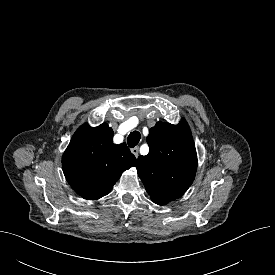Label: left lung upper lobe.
Masks as SVG:
<instances>
[{
    "mask_svg": "<svg viewBox=\"0 0 275 275\" xmlns=\"http://www.w3.org/2000/svg\"><path fill=\"white\" fill-rule=\"evenodd\" d=\"M149 153L139 156L137 172L152 201L164 205L181 197L191 186L197 154L190 129L157 122L147 137Z\"/></svg>",
    "mask_w": 275,
    "mask_h": 275,
    "instance_id": "obj_1",
    "label": "left lung upper lobe"
}]
</instances>
